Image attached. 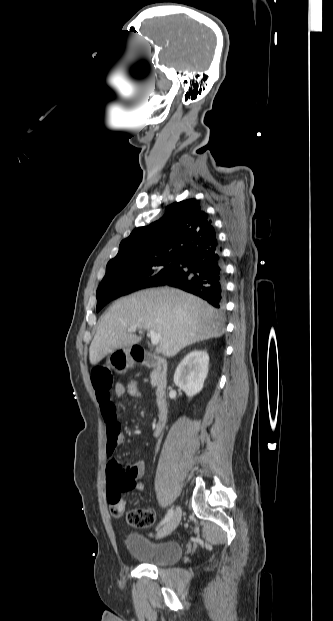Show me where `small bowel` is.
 Returning <instances> with one entry per match:
<instances>
[{
	"instance_id": "1",
	"label": "small bowel",
	"mask_w": 333,
	"mask_h": 621,
	"mask_svg": "<svg viewBox=\"0 0 333 621\" xmlns=\"http://www.w3.org/2000/svg\"><path fill=\"white\" fill-rule=\"evenodd\" d=\"M92 382L96 392V396L100 405L101 414L105 421L106 433H107V446L106 454L108 458V465L112 461H116V449L125 441V436L121 431L120 423L118 420L116 406L113 402L112 395L116 397H122L125 394L124 385L117 383L114 387L112 394V375L109 369L105 366H96L92 373ZM126 470L134 479L133 489L141 490L143 488L139 479L142 477L145 470V461L138 460L126 467ZM123 491L117 490L110 483L107 489V501L109 507L119 503L125 506L124 499L122 497Z\"/></svg>"
}]
</instances>
